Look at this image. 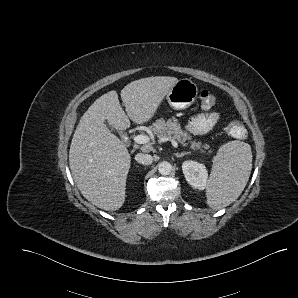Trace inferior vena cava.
Instances as JSON below:
<instances>
[{
    "mask_svg": "<svg viewBox=\"0 0 298 298\" xmlns=\"http://www.w3.org/2000/svg\"><path fill=\"white\" fill-rule=\"evenodd\" d=\"M135 160L138 163H141L144 165H151L153 162V157L150 154L138 153L135 155Z\"/></svg>",
    "mask_w": 298,
    "mask_h": 298,
    "instance_id": "1",
    "label": "inferior vena cava"
}]
</instances>
